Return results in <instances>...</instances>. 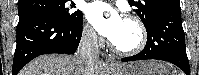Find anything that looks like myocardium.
Wrapping results in <instances>:
<instances>
[{
  "label": "myocardium",
  "mask_w": 199,
  "mask_h": 75,
  "mask_svg": "<svg viewBox=\"0 0 199 75\" xmlns=\"http://www.w3.org/2000/svg\"><path fill=\"white\" fill-rule=\"evenodd\" d=\"M126 20L131 22L138 30L137 44L133 47H120L112 41H110V47L117 53L125 55H134L141 52L145 48L147 43V32L144 24L138 17L134 15H129L126 17Z\"/></svg>",
  "instance_id": "1"
}]
</instances>
